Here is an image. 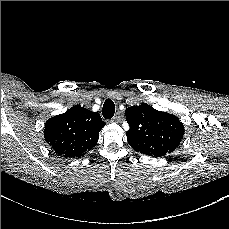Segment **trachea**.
<instances>
[{"mask_svg":"<svg viewBox=\"0 0 229 229\" xmlns=\"http://www.w3.org/2000/svg\"><path fill=\"white\" fill-rule=\"evenodd\" d=\"M115 113V105L111 99L105 100L103 104L102 114L105 119H111Z\"/></svg>","mask_w":229,"mask_h":229,"instance_id":"1","label":"trachea"}]
</instances>
